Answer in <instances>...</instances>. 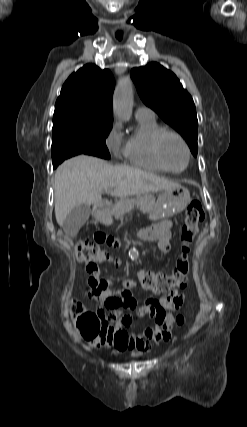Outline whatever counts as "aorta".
<instances>
[{
	"mask_svg": "<svg viewBox=\"0 0 247 427\" xmlns=\"http://www.w3.org/2000/svg\"><path fill=\"white\" fill-rule=\"evenodd\" d=\"M133 104V84L129 78L122 79L114 92L113 109L117 118L123 121H129L132 113ZM139 255L136 249L129 251V256L133 259Z\"/></svg>",
	"mask_w": 247,
	"mask_h": 427,
	"instance_id": "762f6f07",
	"label": "aorta"
}]
</instances>
